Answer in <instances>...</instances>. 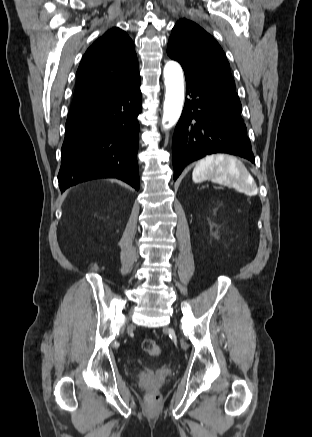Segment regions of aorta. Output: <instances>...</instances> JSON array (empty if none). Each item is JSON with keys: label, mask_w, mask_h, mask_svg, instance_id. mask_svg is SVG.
<instances>
[{"label": "aorta", "mask_w": 312, "mask_h": 437, "mask_svg": "<svg viewBox=\"0 0 312 437\" xmlns=\"http://www.w3.org/2000/svg\"><path fill=\"white\" fill-rule=\"evenodd\" d=\"M166 94L162 124L165 129L173 127L180 118L184 102V79L181 66L169 61L164 67Z\"/></svg>", "instance_id": "762f6f07"}]
</instances>
